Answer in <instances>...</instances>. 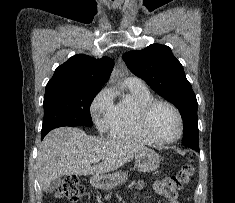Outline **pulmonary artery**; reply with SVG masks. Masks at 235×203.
<instances>
[{"instance_id": "e3ab8cb5", "label": "pulmonary artery", "mask_w": 235, "mask_h": 203, "mask_svg": "<svg viewBox=\"0 0 235 203\" xmlns=\"http://www.w3.org/2000/svg\"><path fill=\"white\" fill-rule=\"evenodd\" d=\"M125 81L129 82V83H133V84H138V85H142L143 84L141 79H139L137 77H134V76L126 78Z\"/></svg>"}]
</instances>
